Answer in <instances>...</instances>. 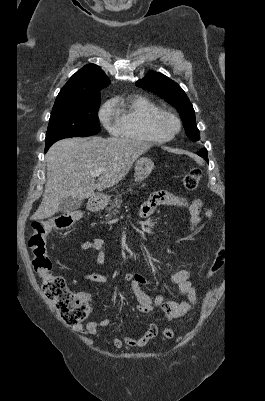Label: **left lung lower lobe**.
<instances>
[{
	"mask_svg": "<svg viewBox=\"0 0 265 401\" xmlns=\"http://www.w3.org/2000/svg\"><path fill=\"white\" fill-rule=\"evenodd\" d=\"M198 155H200V156L203 157L206 161H208V159H207V150H206V149L201 150V151L198 153Z\"/></svg>",
	"mask_w": 265,
	"mask_h": 401,
	"instance_id": "obj_1",
	"label": "left lung lower lobe"
}]
</instances>
